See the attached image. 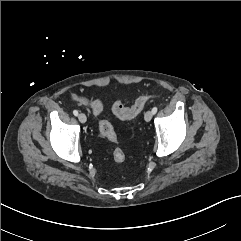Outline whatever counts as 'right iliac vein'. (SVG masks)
I'll list each match as a JSON object with an SVG mask.
<instances>
[{
    "label": "right iliac vein",
    "instance_id": "63e3f726",
    "mask_svg": "<svg viewBox=\"0 0 241 241\" xmlns=\"http://www.w3.org/2000/svg\"><path fill=\"white\" fill-rule=\"evenodd\" d=\"M78 119H79V121H80L81 123H85L86 120H87L86 115L83 114V113H80V114L78 115Z\"/></svg>",
    "mask_w": 241,
    "mask_h": 241
}]
</instances>
